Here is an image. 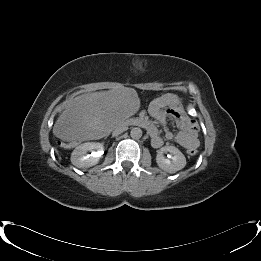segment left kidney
Masks as SVG:
<instances>
[{"instance_id":"1","label":"left kidney","mask_w":261,"mask_h":261,"mask_svg":"<svg viewBox=\"0 0 261 261\" xmlns=\"http://www.w3.org/2000/svg\"><path fill=\"white\" fill-rule=\"evenodd\" d=\"M169 153L170 157L165 158L164 153ZM156 162L162 170L168 173H175L186 166L184 154L175 146H164L158 150Z\"/></svg>"}]
</instances>
